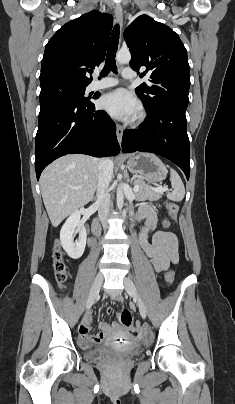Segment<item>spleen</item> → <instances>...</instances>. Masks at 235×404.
Wrapping results in <instances>:
<instances>
[{
  "instance_id": "obj_1",
  "label": "spleen",
  "mask_w": 235,
  "mask_h": 404,
  "mask_svg": "<svg viewBox=\"0 0 235 404\" xmlns=\"http://www.w3.org/2000/svg\"><path fill=\"white\" fill-rule=\"evenodd\" d=\"M170 181L173 191L167 194L168 199L175 202L182 201L185 196L184 184L178 173L173 169H170Z\"/></svg>"
}]
</instances>
